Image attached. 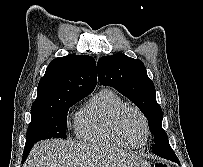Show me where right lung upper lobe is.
I'll return each mask as SVG.
<instances>
[{"instance_id":"obj_1","label":"right lung upper lobe","mask_w":203,"mask_h":167,"mask_svg":"<svg viewBox=\"0 0 203 167\" xmlns=\"http://www.w3.org/2000/svg\"><path fill=\"white\" fill-rule=\"evenodd\" d=\"M96 82V62L92 57L70 54L55 58L39 81L37 98L32 106L51 105L67 98L85 97L94 90Z\"/></svg>"}]
</instances>
